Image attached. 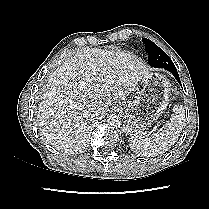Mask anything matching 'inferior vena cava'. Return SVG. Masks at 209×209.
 <instances>
[{"label": "inferior vena cava", "mask_w": 209, "mask_h": 209, "mask_svg": "<svg viewBox=\"0 0 209 209\" xmlns=\"http://www.w3.org/2000/svg\"><path fill=\"white\" fill-rule=\"evenodd\" d=\"M100 116H101L100 115V112L99 111H96L95 114H94L95 120L96 121H99L100 120Z\"/></svg>", "instance_id": "1"}]
</instances>
